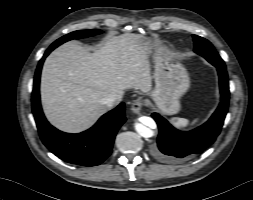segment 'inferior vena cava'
<instances>
[{"label":"inferior vena cava","instance_id":"1","mask_svg":"<svg viewBox=\"0 0 253 200\" xmlns=\"http://www.w3.org/2000/svg\"><path fill=\"white\" fill-rule=\"evenodd\" d=\"M119 101H120V96H118V95H116V94H110V95H108V96L103 100V103H104L107 107H113V106L116 105Z\"/></svg>","mask_w":253,"mask_h":200}]
</instances>
